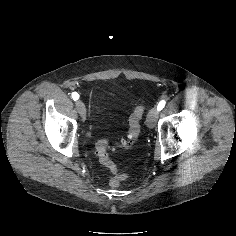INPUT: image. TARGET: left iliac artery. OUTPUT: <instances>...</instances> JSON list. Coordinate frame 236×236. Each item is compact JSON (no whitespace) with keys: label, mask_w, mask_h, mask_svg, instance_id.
I'll list each match as a JSON object with an SVG mask.
<instances>
[{"label":"left iliac artery","mask_w":236,"mask_h":236,"mask_svg":"<svg viewBox=\"0 0 236 236\" xmlns=\"http://www.w3.org/2000/svg\"><path fill=\"white\" fill-rule=\"evenodd\" d=\"M165 104H166V101H165V100L160 101L159 104H158V106H157V109H158L159 111L162 110V109L164 108Z\"/></svg>","instance_id":"left-iliac-artery-1"}]
</instances>
